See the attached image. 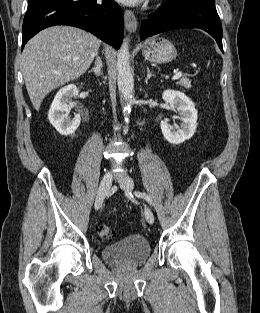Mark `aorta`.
<instances>
[{
  "label": "aorta",
  "mask_w": 260,
  "mask_h": 313,
  "mask_svg": "<svg viewBox=\"0 0 260 313\" xmlns=\"http://www.w3.org/2000/svg\"><path fill=\"white\" fill-rule=\"evenodd\" d=\"M129 59V39L126 38L117 55V84L120 97L123 101V113L126 120L134 102V79Z\"/></svg>",
  "instance_id": "obj_1"
}]
</instances>
